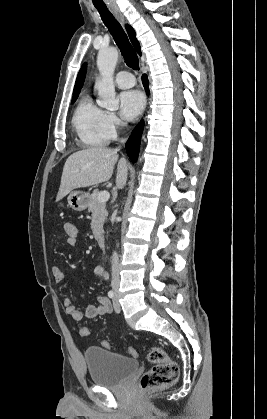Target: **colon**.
Returning <instances> with one entry per match:
<instances>
[{
  "instance_id": "1",
  "label": "colon",
  "mask_w": 267,
  "mask_h": 419,
  "mask_svg": "<svg viewBox=\"0 0 267 419\" xmlns=\"http://www.w3.org/2000/svg\"><path fill=\"white\" fill-rule=\"evenodd\" d=\"M63 230L66 236V243L68 246L75 247L78 244V228L71 222H66L63 226ZM89 329L86 326L80 328L81 336H88ZM102 347L109 349L111 347L109 341L103 340L101 342ZM128 352L131 356L136 357L137 351L130 347ZM148 360L154 366L146 371L140 378V389L155 390L165 388L173 385L179 377L178 364L172 360L167 353L158 346H152L148 353Z\"/></svg>"
}]
</instances>
